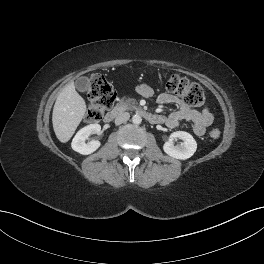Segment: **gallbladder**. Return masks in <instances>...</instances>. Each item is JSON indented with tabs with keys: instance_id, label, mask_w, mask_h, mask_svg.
<instances>
[{
	"instance_id": "gallbladder-1",
	"label": "gallbladder",
	"mask_w": 264,
	"mask_h": 264,
	"mask_svg": "<svg viewBox=\"0 0 264 264\" xmlns=\"http://www.w3.org/2000/svg\"><path fill=\"white\" fill-rule=\"evenodd\" d=\"M75 86L78 91L85 92L89 88V79L87 77H80L76 80Z\"/></svg>"
}]
</instances>
